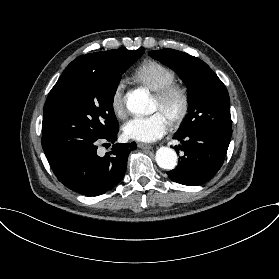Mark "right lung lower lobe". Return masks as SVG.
<instances>
[{
  "label": "right lung lower lobe",
  "mask_w": 279,
  "mask_h": 279,
  "mask_svg": "<svg viewBox=\"0 0 279 279\" xmlns=\"http://www.w3.org/2000/svg\"><path fill=\"white\" fill-rule=\"evenodd\" d=\"M118 131L119 126L102 139L114 143ZM97 143L71 145L47 158L57 179L85 196H98L118 185L125 175L128 155L137 147L135 142L116 143L110 153L99 157Z\"/></svg>",
  "instance_id": "1"
}]
</instances>
